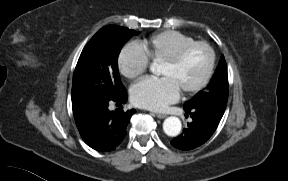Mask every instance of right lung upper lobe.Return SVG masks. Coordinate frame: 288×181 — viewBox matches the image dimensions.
<instances>
[{
    "mask_svg": "<svg viewBox=\"0 0 288 181\" xmlns=\"http://www.w3.org/2000/svg\"><path fill=\"white\" fill-rule=\"evenodd\" d=\"M92 110L93 108L91 107L78 109L73 106V114H74L76 125L79 130L84 128L85 124L87 123L90 117Z\"/></svg>",
    "mask_w": 288,
    "mask_h": 181,
    "instance_id": "right-lung-upper-lobe-1",
    "label": "right lung upper lobe"
}]
</instances>
